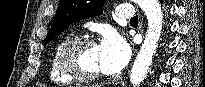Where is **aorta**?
Returning <instances> with one entry per match:
<instances>
[{
  "label": "aorta",
  "instance_id": "obj_1",
  "mask_svg": "<svg viewBox=\"0 0 205 87\" xmlns=\"http://www.w3.org/2000/svg\"><path fill=\"white\" fill-rule=\"evenodd\" d=\"M136 3L147 17L148 31L131 70L130 81L133 87H138L147 75L160 39L163 23L159 0H136Z\"/></svg>",
  "mask_w": 205,
  "mask_h": 87
}]
</instances>
